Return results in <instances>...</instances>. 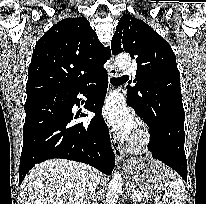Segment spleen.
<instances>
[{
	"mask_svg": "<svg viewBox=\"0 0 206 204\" xmlns=\"http://www.w3.org/2000/svg\"><path fill=\"white\" fill-rule=\"evenodd\" d=\"M165 186L167 191L163 197L164 204H182L184 201L185 186L181 179L176 178L175 173L168 172V181Z\"/></svg>",
	"mask_w": 206,
	"mask_h": 204,
	"instance_id": "1",
	"label": "spleen"
}]
</instances>
